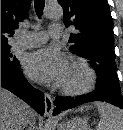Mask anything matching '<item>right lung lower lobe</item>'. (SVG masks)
I'll list each match as a JSON object with an SVG mask.
<instances>
[{
	"mask_svg": "<svg viewBox=\"0 0 123 130\" xmlns=\"http://www.w3.org/2000/svg\"><path fill=\"white\" fill-rule=\"evenodd\" d=\"M1 87L22 98L40 115L44 114V94L29 84L20 66L13 67L1 63Z\"/></svg>",
	"mask_w": 123,
	"mask_h": 130,
	"instance_id": "98d812e1",
	"label": "right lung lower lobe"
}]
</instances>
